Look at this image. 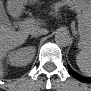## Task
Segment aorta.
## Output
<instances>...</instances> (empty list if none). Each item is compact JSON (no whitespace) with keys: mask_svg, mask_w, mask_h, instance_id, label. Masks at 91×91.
<instances>
[{"mask_svg":"<svg viewBox=\"0 0 91 91\" xmlns=\"http://www.w3.org/2000/svg\"><path fill=\"white\" fill-rule=\"evenodd\" d=\"M55 41L61 45H67L69 42L68 31L64 28H59L55 32Z\"/></svg>","mask_w":91,"mask_h":91,"instance_id":"obj_1","label":"aorta"}]
</instances>
